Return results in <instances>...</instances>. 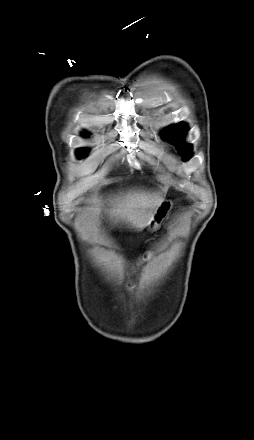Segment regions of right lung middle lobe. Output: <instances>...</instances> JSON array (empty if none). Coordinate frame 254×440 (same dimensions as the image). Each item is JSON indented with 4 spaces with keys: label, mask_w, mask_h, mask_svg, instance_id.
<instances>
[{
    "label": "right lung middle lobe",
    "mask_w": 254,
    "mask_h": 440,
    "mask_svg": "<svg viewBox=\"0 0 254 440\" xmlns=\"http://www.w3.org/2000/svg\"><path fill=\"white\" fill-rule=\"evenodd\" d=\"M77 153H78V155H79L80 157H82V156H86L87 153H88V150L85 149V148H81V149H78Z\"/></svg>",
    "instance_id": "dd1d6c3e"
}]
</instances>
